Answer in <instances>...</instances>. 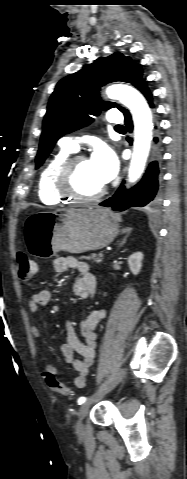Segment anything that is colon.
<instances>
[{
	"mask_svg": "<svg viewBox=\"0 0 187 479\" xmlns=\"http://www.w3.org/2000/svg\"><path fill=\"white\" fill-rule=\"evenodd\" d=\"M19 278L24 283H29L37 271L36 263L25 253L17 254ZM45 380L51 391L64 397H72L71 389L53 374H46Z\"/></svg>",
	"mask_w": 187,
	"mask_h": 479,
	"instance_id": "obj_1",
	"label": "colon"
}]
</instances>
